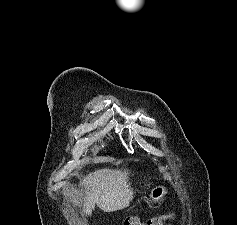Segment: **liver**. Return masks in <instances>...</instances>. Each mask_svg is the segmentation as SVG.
I'll return each instance as SVG.
<instances>
[{
  "mask_svg": "<svg viewBox=\"0 0 237 225\" xmlns=\"http://www.w3.org/2000/svg\"><path fill=\"white\" fill-rule=\"evenodd\" d=\"M128 175L125 169H101L84 178L82 185L88 187V191L83 199V213L91 215L95 204L104 212L128 207L134 194Z\"/></svg>",
  "mask_w": 237,
  "mask_h": 225,
  "instance_id": "liver-1",
  "label": "liver"
}]
</instances>
